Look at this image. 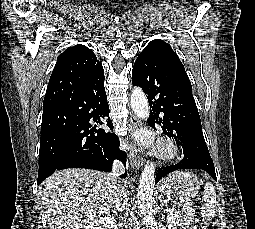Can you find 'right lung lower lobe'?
Wrapping results in <instances>:
<instances>
[{
  "label": "right lung lower lobe",
  "instance_id": "right-lung-lower-lobe-1",
  "mask_svg": "<svg viewBox=\"0 0 255 229\" xmlns=\"http://www.w3.org/2000/svg\"><path fill=\"white\" fill-rule=\"evenodd\" d=\"M104 80V70L98 68L79 84L70 98L43 107L41 129L63 117L72 123L55 163L50 168L39 164L38 185L57 170L87 168L111 172L114 159L125 163L126 154L118 149L117 136L102 127L113 129Z\"/></svg>",
  "mask_w": 255,
  "mask_h": 229
}]
</instances>
